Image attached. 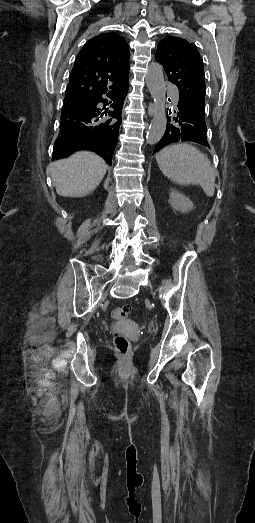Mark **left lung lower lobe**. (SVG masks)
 <instances>
[{"mask_svg":"<svg viewBox=\"0 0 255 523\" xmlns=\"http://www.w3.org/2000/svg\"><path fill=\"white\" fill-rule=\"evenodd\" d=\"M187 112L188 110L179 105H176L170 111L164 137L157 139L156 147L152 149L154 154H158L165 145L179 144V140H181V144L202 145L206 150L212 148V145L207 141L206 129H208V126L202 124V121L195 120V115H187Z\"/></svg>","mask_w":255,"mask_h":523,"instance_id":"0a47b994","label":"left lung lower lobe"}]
</instances>
